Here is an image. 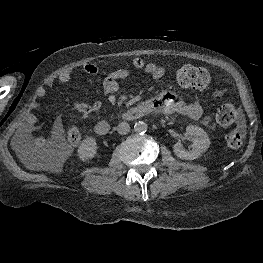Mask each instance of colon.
I'll list each match as a JSON object with an SVG mask.
<instances>
[{
    "instance_id": "obj_1",
    "label": "colon",
    "mask_w": 263,
    "mask_h": 263,
    "mask_svg": "<svg viewBox=\"0 0 263 263\" xmlns=\"http://www.w3.org/2000/svg\"><path fill=\"white\" fill-rule=\"evenodd\" d=\"M178 83L187 88L206 89L211 81L209 72L202 67L194 65H184L178 69L176 73ZM237 116V109L232 102L222 103L216 113V121L221 126L231 125ZM67 142L71 146L79 144L81 134L76 127H71L67 130ZM225 144L231 150L239 149L243 144V135L239 131H231L225 136ZM53 166H57L63 161L64 153L62 150L53 148L48 153Z\"/></svg>"
}]
</instances>
